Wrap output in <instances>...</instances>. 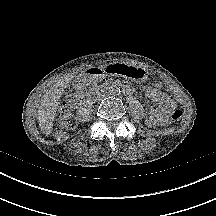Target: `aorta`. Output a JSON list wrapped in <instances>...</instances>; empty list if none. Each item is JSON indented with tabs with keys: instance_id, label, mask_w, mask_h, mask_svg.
I'll return each instance as SVG.
<instances>
[{
	"instance_id": "aorta-1",
	"label": "aorta",
	"mask_w": 216,
	"mask_h": 216,
	"mask_svg": "<svg viewBox=\"0 0 216 216\" xmlns=\"http://www.w3.org/2000/svg\"><path fill=\"white\" fill-rule=\"evenodd\" d=\"M120 94V89L118 87H112L109 91L111 97H117Z\"/></svg>"
}]
</instances>
